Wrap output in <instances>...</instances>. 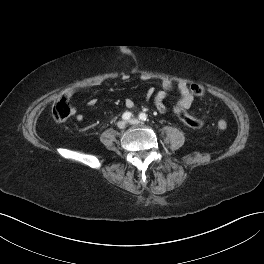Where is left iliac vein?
Returning <instances> with one entry per match:
<instances>
[{"label": "left iliac vein", "instance_id": "left-iliac-vein-1", "mask_svg": "<svg viewBox=\"0 0 264 264\" xmlns=\"http://www.w3.org/2000/svg\"><path fill=\"white\" fill-rule=\"evenodd\" d=\"M129 123L130 124H138L139 123V120H137V119H131V120H129Z\"/></svg>", "mask_w": 264, "mask_h": 264}]
</instances>
